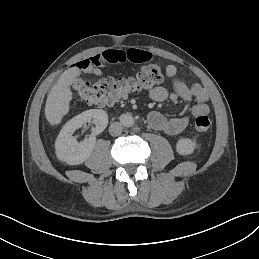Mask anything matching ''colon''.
Wrapping results in <instances>:
<instances>
[{"instance_id": "colon-1", "label": "colon", "mask_w": 259, "mask_h": 259, "mask_svg": "<svg viewBox=\"0 0 259 259\" xmlns=\"http://www.w3.org/2000/svg\"><path fill=\"white\" fill-rule=\"evenodd\" d=\"M162 80L160 64L153 62L143 66L132 77L106 78L96 83L77 79L73 83V89L81 101L89 105L105 107L134 93L153 89ZM211 125L212 121L206 115L197 116L194 122V127L198 132L207 131Z\"/></svg>"}]
</instances>
